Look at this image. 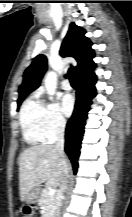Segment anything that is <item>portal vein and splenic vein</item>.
Instances as JSON below:
<instances>
[{"instance_id": "1", "label": "portal vein and splenic vein", "mask_w": 132, "mask_h": 217, "mask_svg": "<svg viewBox=\"0 0 132 217\" xmlns=\"http://www.w3.org/2000/svg\"><path fill=\"white\" fill-rule=\"evenodd\" d=\"M56 193V190L54 188L49 189V195H54Z\"/></svg>"}]
</instances>
